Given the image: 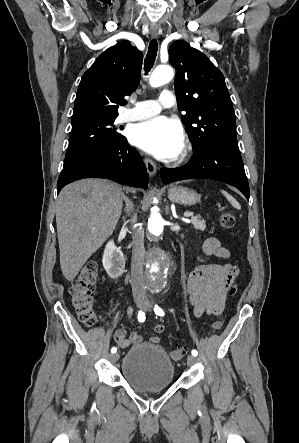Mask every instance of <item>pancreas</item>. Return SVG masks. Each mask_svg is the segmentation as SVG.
<instances>
[{"label":"pancreas","mask_w":299,"mask_h":443,"mask_svg":"<svg viewBox=\"0 0 299 443\" xmlns=\"http://www.w3.org/2000/svg\"><path fill=\"white\" fill-rule=\"evenodd\" d=\"M191 223L196 230L204 231L206 229V222L201 220L198 216L192 217Z\"/></svg>","instance_id":"1"}]
</instances>
